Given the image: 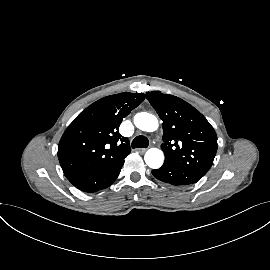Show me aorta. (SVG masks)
Instances as JSON below:
<instances>
[{
	"label": "aorta",
	"mask_w": 270,
	"mask_h": 270,
	"mask_svg": "<svg viewBox=\"0 0 270 270\" xmlns=\"http://www.w3.org/2000/svg\"><path fill=\"white\" fill-rule=\"evenodd\" d=\"M135 126L146 132H153L158 129V119L153 114L140 112L134 116ZM145 163L152 169H158L164 162V154L160 149L151 148L144 156Z\"/></svg>",
	"instance_id": "762f6f07"
}]
</instances>
